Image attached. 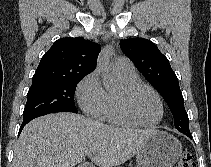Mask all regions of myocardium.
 <instances>
[{
    "label": "myocardium",
    "instance_id": "myocardium-1",
    "mask_svg": "<svg viewBox=\"0 0 211 167\" xmlns=\"http://www.w3.org/2000/svg\"><path fill=\"white\" fill-rule=\"evenodd\" d=\"M139 89H147L150 92H152L159 104L160 116L158 120L153 123H143L139 121L138 119L134 117V115L131 113V111L128 108V103H127L128 97ZM115 102L121 116L125 118L127 121H129L130 123L134 124L135 126L144 127V128H153L159 125L164 118L165 109H164V105L160 97V94L151 85L146 84L141 81L124 84L121 87V89L116 93Z\"/></svg>",
    "mask_w": 211,
    "mask_h": 167
}]
</instances>
